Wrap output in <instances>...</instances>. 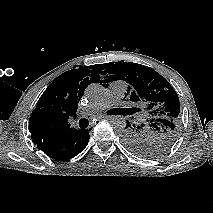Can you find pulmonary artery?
<instances>
[{
	"label": "pulmonary artery",
	"instance_id": "1",
	"mask_svg": "<svg viewBox=\"0 0 213 213\" xmlns=\"http://www.w3.org/2000/svg\"><path fill=\"white\" fill-rule=\"evenodd\" d=\"M127 87L128 84L122 80L111 82L107 88L105 97L100 101L93 102L84 107L81 111V116L92 115L109 106L117 105L126 92Z\"/></svg>",
	"mask_w": 213,
	"mask_h": 213
}]
</instances>
